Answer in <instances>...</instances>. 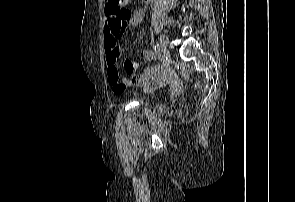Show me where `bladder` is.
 I'll return each mask as SVG.
<instances>
[{"label": "bladder", "instance_id": "31cf9c89", "mask_svg": "<svg viewBox=\"0 0 295 202\" xmlns=\"http://www.w3.org/2000/svg\"><path fill=\"white\" fill-rule=\"evenodd\" d=\"M151 113L155 116H162L165 113V107L162 104L155 103L151 107Z\"/></svg>", "mask_w": 295, "mask_h": 202}]
</instances>
